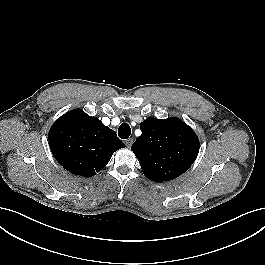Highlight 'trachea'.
Listing matches in <instances>:
<instances>
[{
  "instance_id": "1",
  "label": "trachea",
  "mask_w": 265,
  "mask_h": 265,
  "mask_svg": "<svg viewBox=\"0 0 265 265\" xmlns=\"http://www.w3.org/2000/svg\"><path fill=\"white\" fill-rule=\"evenodd\" d=\"M131 134V128L129 124L122 123L118 129V135L121 139H127Z\"/></svg>"
}]
</instances>
